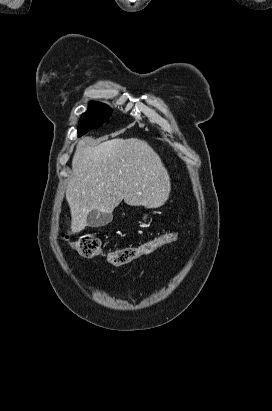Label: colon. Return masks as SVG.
<instances>
[{
  "mask_svg": "<svg viewBox=\"0 0 272 411\" xmlns=\"http://www.w3.org/2000/svg\"><path fill=\"white\" fill-rule=\"evenodd\" d=\"M176 233L170 232L145 241L136 246L119 248L113 251H105L101 240L92 234H85L72 240L71 247L82 257L92 258L104 256L106 261L114 266L125 265L134 259L148 255L160 247L168 245L176 240Z\"/></svg>",
  "mask_w": 272,
  "mask_h": 411,
  "instance_id": "5ec220e1",
  "label": "colon"
}]
</instances>
